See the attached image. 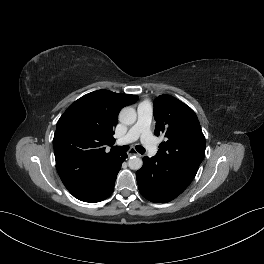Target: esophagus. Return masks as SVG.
<instances>
[{
  "mask_svg": "<svg viewBox=\"0 0 264 264\" xmlns=\"http://www.w3.org/2000/svg\"><path fill=\"white\" fill-rule=\"evenodd\" d=\"M127 155L129 157L131 156H140V154L135 150V149H130L128 152H127Z\"/></svg>",
  "mask_w": 264,
  "mask_h": 264,
  "instance_id": "esophagus-1",
  "label": "esophagus"
}]
</instances>
